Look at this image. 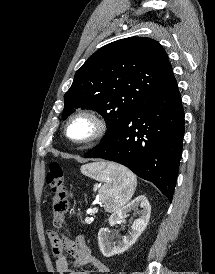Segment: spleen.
<instances>
[{
    "label": "spleen",
    "instance_id": "1",
    "mask_svg": "<svg viewBox=\"0 0 215 274\" xmlns=\"http://www.w3.org/2000/svg\"><path fill=\"white\" fill-rule=\"evenodd\" d=\"M80 170L84 175L103 182L98 189V196L108 212L124 206L136 189L135 175L123 166L97 162L83 165Z\"/></svg>",
    "mask_w": 215,
    "mask_h": 274
}]
</instances>
